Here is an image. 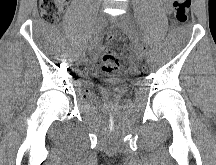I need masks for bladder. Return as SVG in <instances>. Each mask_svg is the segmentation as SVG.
<instances>
[{
	"label": "bladder",
	"instance_id": "bladder-1",
	"mask_svg": "<svg viewBox=\"0 0 216 165\" xmlns=\"http://www.w3.org/2000/svg\"><path fill=\"white\" fill-rule=\"evenodd\" d=\"M95 80L100 81L97 85L100 97H122L121 89H108V86H119V81H127V76H116V81H112V76H96Z\"/></svg>",
	"mask_w": 216,
	"mask_h": 165
}]
</instances>
